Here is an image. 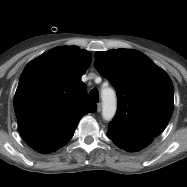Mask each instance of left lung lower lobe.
<instances>
[{"label": "left lung lower lobe", "instance_id": "1", "mask_svg": "<svg viewBox=\"0 0 187 187\" xmlns=\"http://www.w3.org/2000/svg\"><path fill=\"white\" fill-rule=\"evenodd\" d=\"M112 140H113V142L118 146V147H120V148H122V149H125L126 151H130V152H133V151H140V150H134V149H132V148H129V147H127V146H125L124 144H123V140L124 139H126V137H122V136H110V135H108Z\"/></svg>", "mask_w": 187, "mask_h": 187}]
</instances>
